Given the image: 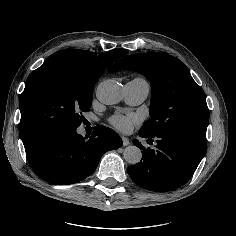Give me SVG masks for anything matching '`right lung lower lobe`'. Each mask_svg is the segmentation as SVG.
Here are the masks:
<instances>
[{
  "label": "right lung lower lobe",
  "instance_id": "right-lung-lower-lobe-1",
  "mask_svg": "<svg viewBox=\"0 0 236 236\" xmlns=\"http://www.w3.org/2000/svg\"><path fill=\"white\" fill-rule=\"evenodd\" d=\"M122 144L114 130L97 125L86 137L78 134L77 128L52 132L25 151L39 177L52 184L67 185L91 175L101 156Z\"/></svg>",
  "mask_w": 236,
  "mask_h": 236
}]
</instances>
